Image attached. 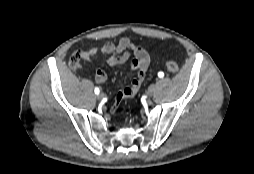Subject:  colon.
I'll use <instances>...</instances> for the list:
<instances>
[{
    "instance_id": "5ec220e1",
    "label": "colon",
    "mask_w": 254,
    "mask_h": 174,
    "mask_svg": "<svg viewBox=\"0 0 254 174\" xmlns=\"http://www.w3.org/2000/svg\"><path fill=\"white\" fill-rule=\"evenodd\" d=\"M85 59L83 51H75L71 54L69 58V65L71 68L76 69L80 67L82 61ZM166 69L171 73H177L179 71V66L174 61H167L165 63Z\"/></svg>"
}]
</instances>
